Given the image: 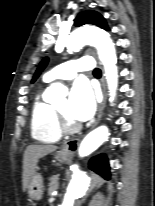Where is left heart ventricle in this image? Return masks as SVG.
<instances>
[{
    "label": "left heart ventricle",
    "mask_w": 155,
    "mask_h": 206,
    "mask_svg": "<svg viewBox=\"0 0 155 206\" xmlns=\"http://www.w3.org/2000/svg\"><path fill=\"white\" fill-rule=\"evenodd\" d=\"M56 108L59 109L69 120L72 119L67 114V100H62L58 104H56Z\"/></svg>",
    "instance_id": "1"
}]
</instances>
